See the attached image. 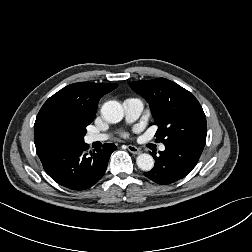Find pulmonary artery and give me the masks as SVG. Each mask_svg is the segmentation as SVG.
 Returning <instances> with one entry per match:
<instances>
[{
	"label": "pulmonary artery",
	"mask_w": 252,
	"mask_h": 252,
	"mask_svg": "<svg viewBox=\"0 0 252 252\" xmlns=\"http://www.w3.org/2000/svg\"><path fill=\"white\" fill-rule=\"evenodd\" d=\"M123 108L125 113V120L127 123L135 122L142 114L144 104L139 98H127L123 101ZM109 138L107 133H91L86 137L87 143H93L98 141H104ZM160 151L165 150V146L159 147Z\"/></svg>",
	"instance_id": "1"
}]
</instances>
